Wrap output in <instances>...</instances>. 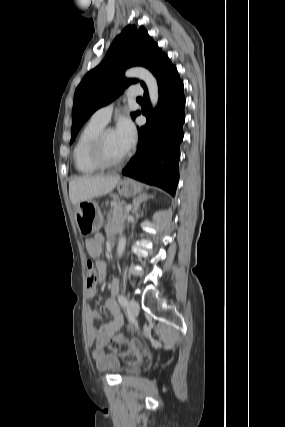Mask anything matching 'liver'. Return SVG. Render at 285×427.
Wrapping results in <instances>:
<instances>
[{
    "instance_id": "obj_1",
    "label": "liver",
    "mask_w": 285,
    "mask_h": 427,
    "mask_svg": "<svg viewBox=\"0 0 285 427\" xmlns=\"http://www.w3.org/2000/svg\"><path fill=\"white\" fill-rule=\"evenodd\" d=\"M119 180L118 175L73 178L69 182L71 203L77 207L82 202H89L93 198L108 194L115 188Z\"/></svg>"
}]
</instances>
